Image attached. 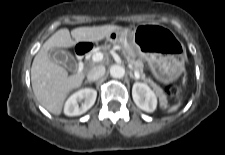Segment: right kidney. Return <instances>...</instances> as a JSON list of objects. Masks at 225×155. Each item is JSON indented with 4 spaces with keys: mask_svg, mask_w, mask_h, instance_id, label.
<instances>
[{
    "mask_svg": "<svg viewBox=\"0 0 225 155\" xmlns=\"http://www.w3.org/2000/svg\"><path fill=\"white\" fill-rule=\"evenodd\" d=\"M97 91L85 88L74 93L65 103L64 113L67 116H78L84 114L95 103ZM79 103L81 105L79 106Z\"/></svg>",
    "mask_w": 225,
    "mask_h": 155,
    "instance_id": "obj_1",
    "label": "right kidney"
}]
</instances>
